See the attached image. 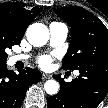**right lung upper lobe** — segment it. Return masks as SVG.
Instances as JSON below:
<instances>
[{
  "mask_svg": "<svg viewBox=\"0 0 108 108\" xmlns=\"http://www.w3.org/2000/svg\"><path fill=\"white\" fill-rule=\"evenodd\" d=\"M41 8H26L24 3L5 2L0 4V23L16 39H22L28 25L35 19Z\"/></svg>",
  "mask_w": 108,
  "mask_h": 108,
  "instance_id": "cb5924a9",
  "label": "right lung upper lobe"
}]
</instances>
